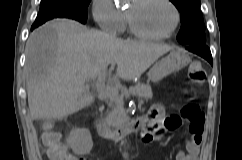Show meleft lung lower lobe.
<instances>
[{"mask_svg":"<svg viewBox=\"0 0 242 160\" xmlns=\"http://www.w3.org/2000/svg\"><path fill=\"white\" fill-rule=\"evenodd\" d=\"M185 47L187 50L205 58L210 64H213L210 49L206 46L205 43H194V44L186 45Z\"/></svg>","mask_w":242,"mask_h":160,"instance_id":"1","label":"left lung lower lobe"}]
</instances>
